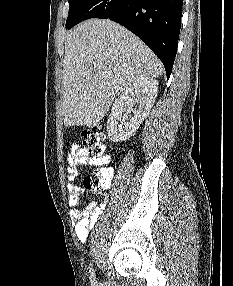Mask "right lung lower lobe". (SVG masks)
I'll use <instances>...</instances> for the list:
<instances>
[{
	"mask_svg": "<svg viewBox=\"0 0 233 286\" xmlns=\"http://www.w3.org/2000/svg\"><path fill=\"white\" fill-rule=\"evenodd\" d=\"M182 4L183 0H91L71 28L89 18L110 19L123 25L160 58L169 78L177 51Z\"/></svg>",
	"mask_w": 233,
	"mask_h": 286,
	"instance_id": "98d812e1",
	"label": "right lung lower lobe"
}]
</instances>
